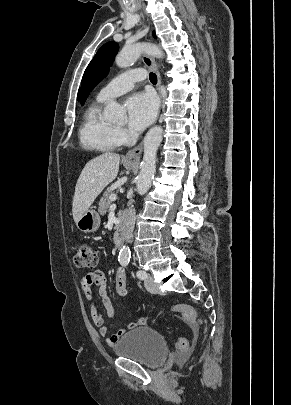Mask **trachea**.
<instances>
[{
    "label": "trachea",
    "mask_w": 291,
    "mask_h": 405,
    "mask_svg": "<svg viewBox=\"0 0 291 405\" xmlns=\"http://www.w3.org/2000/svg\"><path fill=\"white\" fill-rule=\"evenodd\" d=\"M149 79H150V82H151L152 84H156V83H157V76H156V74L150 73Z\"/></svg>",
    "instance_id": "3493384b"
}]
</instances>
